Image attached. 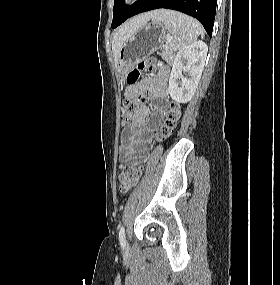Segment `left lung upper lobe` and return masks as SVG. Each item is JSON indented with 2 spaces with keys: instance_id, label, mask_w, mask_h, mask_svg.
<instances>
[{
  "instance_id": "obj_1",
  "label": "left lung upper lobe",
  "mask_w": 280,
  "mask_h": 285,
  "mask_svg": "<svg viewBox=\"0 0 280 285\" xmlns=\"http://www.w3.org/2000/svg\"><path fill=\"white\" fill-rule=\"evenodd\" d=\"M140 0L136 1L133 5H124V0H115L113 7V21L112 28L117 27L130 17L131 12Z\"/></svg>"
}]
</instances>
